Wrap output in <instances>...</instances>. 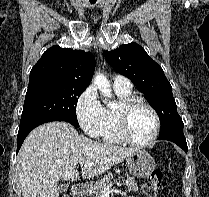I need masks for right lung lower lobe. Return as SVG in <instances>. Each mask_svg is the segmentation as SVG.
<instances>
[{"label":"right lung lower lobe","mask_w":209,"mask_h":197,"mask_svg":"<svg viewBox=\"0 0 209 197\" xmlns=\"http://www.w3.org/2000/svg\"><path fill=\"white\" fill-rule=\"evenodd\" d=\"M51 121H64V120H60V119H47V120H43V121H39V122H35V123H31L28 124L24 127H20L19 128V132H18V145H17V153L19 151V149L21 148V145L24 141V139L26 138V136L29 134V132L31 130H33L35 127L46 123V122H51Z\"/></svg>","instance_id":"obj_1"}]
</instances>
